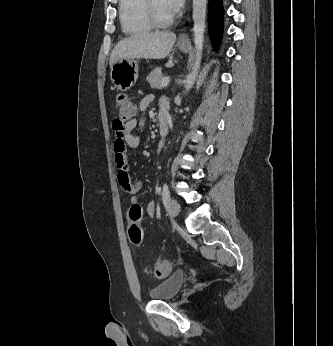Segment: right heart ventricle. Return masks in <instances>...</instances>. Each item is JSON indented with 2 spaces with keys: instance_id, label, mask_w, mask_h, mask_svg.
<instances>
[{
  "instance_id": "right-heart-ventricle-1",
  "label": "right heart ventricle",
  "mask_w": 333,
  "mask_h": 346,
  "mask_svg": "<svg viewBox=\"0 0 333 346\" xmlns=\"http://www.w3.org/2000/svg\"><path fill=\"white\" fill-rule=\"evenodd\" d=\"M119 20L122 31L128 35L146 33L153 27L145 0H119Z\"/></svg>"
}]
</instances>
